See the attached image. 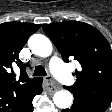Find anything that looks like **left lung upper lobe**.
<instances>
[{
	"instance_id": "left-lung-upper-lobe-1",
	"label": "left lung upper lobe",
	"mask_w": 112,
	"mask_h": 112,
	"mask_svg": "<svg viewBox=\"0 0 112 112\" xmlns=\"http://www.w3.org/2000/svg\"><path fill=\"white\" fill-rule=\"evenodd\" d=\"M42 27L65 62L74 58L81 64V70L73 74L75 84L64 88L74 98L111 103L112 50L106 38L84 22H57Z\"/></svg>"
}]
</instances>
